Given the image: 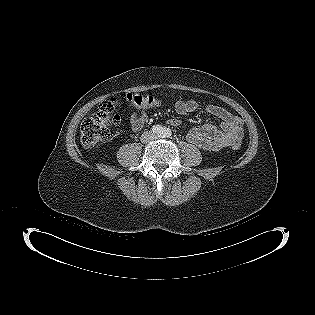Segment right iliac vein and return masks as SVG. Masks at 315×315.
I'll return each instance as SVG.
<instances>
[{"label":"right iliac vein","instance_id":"63e3f726","mask_svg":"<svg viewBox=\"0 0 315 315\" xmlns=\"http://www.w3.org/2000/svg\"><path fill=\"white\" fill-rule=\"evenodd\" d=\"M143 139H144V141H148L150 139V135L146 134Z\"/></svg>","mask_w":315,"mask_h":315}]
</instances>
